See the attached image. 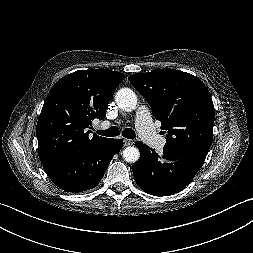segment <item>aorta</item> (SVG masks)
Returning a JSON list of instances; mask_svg holds the SVG:
<instances>
[{
	"label": "aorta",
	"mask_w": 253,
	"mask_h": 253,
	"mask_svg": "<svg viewBox=\"0 0 253 253\" xmlns=\"http://www.w3.org/2000/svg\"><path fill=\"white\" fill-rule=\"evenodd\" d=\"M117 105L125 110L132 111L137 105V96L135 92L129 88L120 89L115 95ZM140 153L136 147L129 146L123 150V158L126 162L134 163L139 160Z\"/></svg>",
	"instance_id": "obj_1"
}]
</instances>
